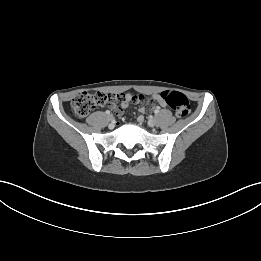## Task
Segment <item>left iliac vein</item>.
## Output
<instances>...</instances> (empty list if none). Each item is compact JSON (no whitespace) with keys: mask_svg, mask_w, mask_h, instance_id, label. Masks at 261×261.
Here are the masks:
<instances>
[{"mask_svg":"<svg viewBox=\"0 0 261 261\" xmlns=\"http://www.w3.org/2000/svg\"><path fill=\"white\" fill-rule=\"evenodd\" d=\"M156 124H157V121H156L155 118H152V119H150V120L148 121V125H149L150 127H154V126H156Z\"/></svg>","mask_w":261,"mask_h":261,"instance_id":"4c4485c4","label":"left iliac vein"}]
</instances>
